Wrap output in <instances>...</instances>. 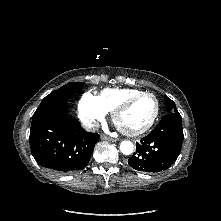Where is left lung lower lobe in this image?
<instances>
[{
	"label": "left lung lower lobe",
	"instance_id": "0a47b994",
	"mask_svg": "<svg viewBox=\"0 0 221 221\" xmlns=\"http://www.w3.org/2000/svg\"><path fill=\"white\" fill-rule=\"evenodd\" d=\"M181 116L171 112L160 120L156 128L139 143L128 164L135 170L160 172L177 159L183 142Z\"/></svg>",
	"mask_w": 221,
	"mask_h": 221
}]
</instances>
